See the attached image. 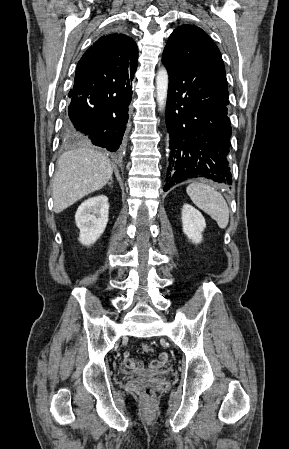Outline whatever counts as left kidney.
Wrapping results in <instances>:
<instances>
[{"label":"left kidney","mask_w":289,"mask_h":449,"mask_svg":"<svg viewBox=\"0 0 289 449\" xmlns=\"http://www.w3.org/2000/svg\"><path fill=\"white\" fill-rule=\"evenodd\" d=\"M183 232L192 243L199 244L202 241V232L206 227V222L197 209L189 204H184L182 208Z\"/></svg>","instance_id":"1"}]
</instances>
